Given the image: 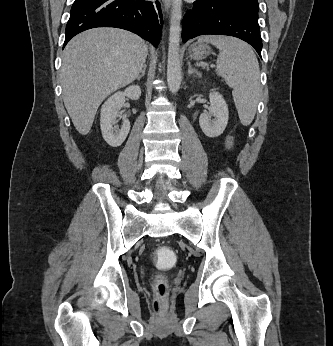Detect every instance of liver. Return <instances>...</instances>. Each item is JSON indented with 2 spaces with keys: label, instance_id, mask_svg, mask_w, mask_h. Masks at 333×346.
Listing matches in <instances>:
<instances>
[{
  "label": "liver",
  "instance_id": "obj_1",
  "mask_svg": "<svg viewBox=\"0 0 333 346\" xmlns=\"http://www.w3.org/2000/svg\"><path fill=\"white\" fill-rule=\"evenodd\" d=\"M148 46L139 36L116 28H95L76 35L62 55L63 101L77 131L89 133L102 101L134 81Z\"/></svg>",
  "mask_w": 333,
  "mask_h": 346
}]
</instances>
